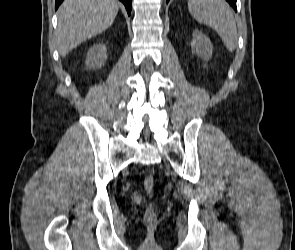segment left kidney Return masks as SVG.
<instances>
[{
	"instance_id": "5707ae66",
	"label": "left kidney",
	"mask_w": 295,
	"mask_h": 250,
	"mask_svg": "<svg viewBox=\"0 0 295 250\" xmlns=\"http://www.w3.org/2000/svg\"><path fill=\"white\" fill-rule=\"evenodd\" d=\"M193 40L191 43L192 52L199 55L204 60H209L212 56L213 45L208 37L201 31H193Z\"/></svg>"
}]
</instances>
